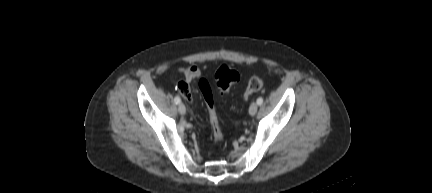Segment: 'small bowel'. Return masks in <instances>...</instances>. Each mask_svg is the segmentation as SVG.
<instances>
[{"instance_id": "small-bowel-1", "label": "small bowel", "mask_w": 432, "mask_h": 193, "mask_svg": "<svg viewBox=\"0 0 432 193\" xmlns=\"http://www.w3.org/2000/svg\"><path fill=\"white\" fill-rule=\"evenodd\" d=\"M201 77L200 70L195 67H189L184 71V80L178 83V89L180 93L189 101H192V95L190 91V83Z\"/></svg>"}]
</instances>
